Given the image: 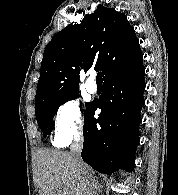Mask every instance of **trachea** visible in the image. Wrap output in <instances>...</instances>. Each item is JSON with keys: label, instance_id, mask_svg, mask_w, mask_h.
<instances>
[{"label": "trachea", "instance_id": "1", "mask_svg": "<svg viewBox=\"0 0 178 195\" xmlns=\"http://www.w3.org/2000/svg\"><path fill=\"white\" fill-rule=\"evenodd\" d=\"M103 80H102V73L101 72H99L98 74H97V76H96V82H102Z\"/></svg>", "mask_w": 178, "mask_h": 195}]
</instances>
